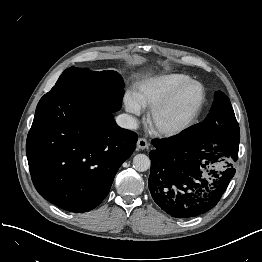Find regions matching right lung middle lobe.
Segmentation results:
<instances>
[{
	"mask_svg": "<svg viewBox=\"0 0 262 262\" xmlns=\"http://www.w3.org/2000/svg\"><path fill=\"white\" fill-rule=\"evenodd\" d=\"M67 93L84 94L101 101L109 111L117 112L122 105L124 82L115 71H91L88 68L70 67L59 77L46 95Z\"/></svg>",
	"mask_w": 262,
	"mask_h": 262,
	"instance_id": "obj_1",
	"label": "right lung middle lobe"
}]
</instances>
